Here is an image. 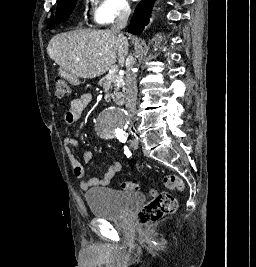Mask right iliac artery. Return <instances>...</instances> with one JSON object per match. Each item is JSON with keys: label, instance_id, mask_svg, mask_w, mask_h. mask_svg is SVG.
Here are the masks:
<instances>
[{"label": "right iliac artery", "instance_id": "obj_1", "mask_svg": "<svg viewBox=\"0 0 256 267\" xmlns=\"http://www.w3.org/2000/svg\"><path fill=\"white\" fill-rule=\"evenodd\" d=\"M126 140H127V137H120V138H119V141H120V142H123V143L126 142Z\"/></svg>", "mask_w": 256, "mask_h": 267}]
</instances>
